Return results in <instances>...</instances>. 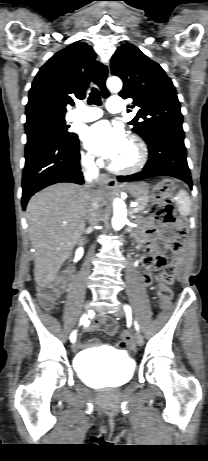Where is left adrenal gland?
<instances>
[{
    "mask_svg": "<svg viewBox=\"0 0 208 461\" xmlns=\"http://www.w3.org/2000/svg\"><path fill=\"white\" fill-rule=\"evenodd\" d=\"M129 213H130V217H131V218H134V216H133V212H132V211H130Z\"/></svg>",
    "mask_w": 208,
    "mask_h": 461,
    "instance_id": "1",
    "label": "left adrenal gland"
}]
</instances>
